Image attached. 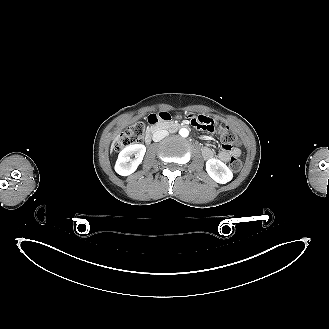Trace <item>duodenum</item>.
<instances>
[{
	"label": "duodenum",
	"mask_w": 329,
	"mask_h": 329,
	"mask_svg": "<svg viewBox=\"0 0 329 329\" xmlns=\"http://www.w3.org/2000/svg\"><path fill=\"white\" fill-rule=\"evenodd\" d=\"M150 123L151 127L150 129L146 132L144 141L146 144H150L152 140V135L153 133L163 127H182L183 125L180 124H173L168 121V118L163 116L162 113L158 114H153L150 117Z\"/></svg>",
	"instance_id": "obj_1"
}]
</instances>
